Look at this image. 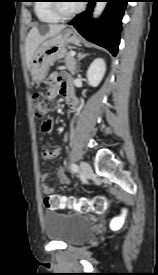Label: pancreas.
Here are the masks:
<instances>
[{
	"mask_svg": "<svg viewBox=\"0 0 158 275\" xmlns=\"http://www.w3.org/2000/svg\"><path fill=\"white\" fill-rule=\"evenodd\" d=\"M64 63L66 68L70 71L71 74H74L76 71V60L74 58V56L71 55V52H68L65 59H64Z\"/></svg>",
	"mask_w": 158,
	"mask_h": 275,
	"instance_id": "1",
	"label": "pancreas"
}]
</instances>
